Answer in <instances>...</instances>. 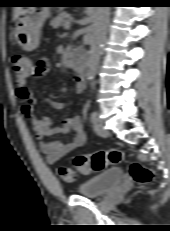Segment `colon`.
<instances>
[{"label": "colon", "instance_id": "obj_1", "mask_svg": "<svg viewBox=\"0 0 170 231\" xmlns=\"http://www.w3.org/2000/svg\"><path fill=\"white\" fill-rule=\"evenodd\" d=\"M12 70L17 85H25L27 81L35 76V63L22 53H17L11 60ZM124 154L117 148H110L92 154L78 155L74 159V166L81 174H89L93 171H100L109 165L120 163ZM130 175L137 183H146L152 178V172L138 162H133L129 168ZM59 176L66 182H73L76 173L69 167H59Z\"/></svg>", "mask_w": 170, "mask_h": 231}]
</instances>
